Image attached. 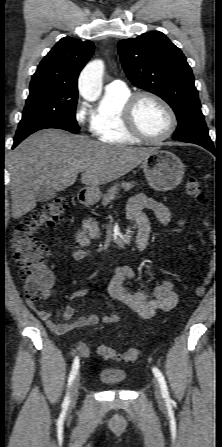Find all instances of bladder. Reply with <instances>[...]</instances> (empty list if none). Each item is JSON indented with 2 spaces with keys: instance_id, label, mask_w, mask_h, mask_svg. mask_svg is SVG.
Instances as JSON below:
<instances>
[{
  "instance_id": "1",
  "label": "bladder",
  "mask_w": 222,
  "mask_h": 447,
  "mask_svg": "<svg viewBox=\"0 0 222 447\" xmlns=\"http://www.w3.org/2000/svg\"><path fill=\"white\" fill-rule=\"evenodd\" d=\"M98 379L108 386L121 385L126 382V373L123 370L102 369L98 374Z\"/></svg>"
}]
</instances>
